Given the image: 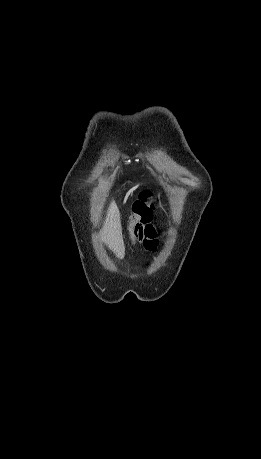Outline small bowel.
Here are the masks:
<instances>
[{"instance_id":"1","label":"small bowel","mask_w":261,"mask_h":459,"mask_svg":"<svg viewBox=\"0 0 261 459\" xmlns=\"http://www.w3.org/2000/svg\"><path fill=\"white\" fill-rule=\"evenodd\" d=\"M134 237L141 241L148 251H154L158 247V240L156 237L152 236L151 238H140L138 234H134Z\"/></svg>"}]
</instances>
